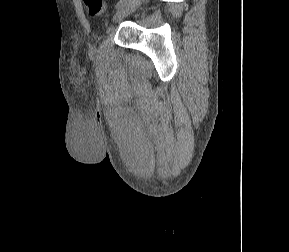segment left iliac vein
<instances>
[{"mask_svg": "<svg viewBox=\"0 0 289 252\" xmlns=\"http://www.w3.org/2000/svg\"><path fill=\"white\" fill-rule=\"evenodd\" d=\"M143 0H128L122 7L118 8L113 16L114 22H119L131 13H133L142 3Z\"/></svg>", "mask_w": 289, "mask_h": 252, "instance_id": "left-iliac-vein-1", "label": "left iliac vein"}]
</instances>
